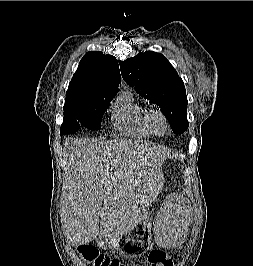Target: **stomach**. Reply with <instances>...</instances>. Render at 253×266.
I'll return each instance as SVG.
<instances>
[{
	"label": "stomach",
	"mask_w": 253,
	"mask_h": 266,
	"mask_svg": "<svg viewBox=\"0 0 253 266\" xmlns=\"http://www.w3.org/2000/svg\"><path fill=\"white\" fill-rule=\"evenodd\" d=\"M98 244L104 249H116L127 258L140 257L150 248L151 225L147 219H144L140 226L137 225L120 238L115 240L100 239Z\"/></svg>",
	"instance_id": "0dacf381"
}]
</instances>
